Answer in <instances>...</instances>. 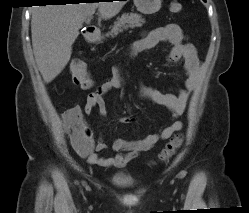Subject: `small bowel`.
<instances>
[{
  "label": "small bowel",
  "mask_w": 249,
  "mask_h": 213,
  "mask_svg": "<svg viewBox=\"0 0 249 213\" xmlns=\"http://www.w3.org/2000/svg\"><path fill=\"white\" fill-rule=\"evenodd\" d=\"M162 42L171 45L170 61L183 60L184 85L177 93H164L153 87L140 85L138 93L140 97L168 109L171 112V123L161 127L157 133L148 134L140 139L116 138L112 144V150L116 153L114 156L106 157L100 154L108 149L103 136L98 138L94 149L92 146V130L84 118V113L89 114L97 109L101 117L106 116L105 95L109 91L123 86L120 71L115 69L111 77L88 94L84 107L74 106L63 114L64 126L67 131L70 133L72 129L76 130L80 138V141H77L75 135L70 134L74 150L85 157L90 164L102 167H124L137 158L140 153L150 150L159 141L167 140L175 132L182 130L184 124L178 118L184 113L189 97L196 87L201 66L194 45L186 41L180 26L167 24L146 33L142 39L135 42L129 49V56L134 57ZM135 120V116H128L120 118L119 122L126 124Z\"/></svg>",
  "instance_id": "obj_1"
}]
</instances>
